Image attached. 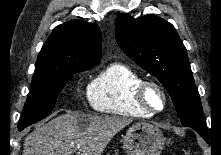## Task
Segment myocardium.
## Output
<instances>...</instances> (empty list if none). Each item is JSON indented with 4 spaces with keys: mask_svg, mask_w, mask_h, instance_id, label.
<instances>
[{
    "mask_svg": "<svg viewBox=\"0 0 221 155\" xmlns=\"http://www.w3.org/2000/svg\"><path fill=\"white\" fill-rule=\"evenodd\" d=\"M153 88L159 92L162 97V106L159 109L153 108L147 100V91ZM135 99L138 105L150 114H159L163 112L168 104V97L165 89L153 80H143L137 87L135 92Z\"/></svg>",
    "mask_w": 221,
    "mask_h": 155,
    "instance_id": "obj_1",
    "label": "myocardium"
}]
</instances>
